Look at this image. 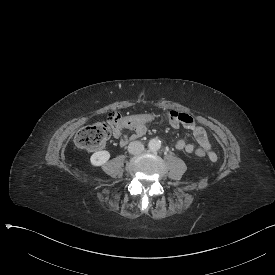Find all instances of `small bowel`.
I'll return each instance as SVG.
<instances>
[{
    "label": "small bowel",
    "instance_id": "small-bowel-1",
    "mask_svg": "<svg viewBox=\"0 0 275 275\" xmlns=\"http://www.w3.org/2000/svg\"><path fill=\"white\" fill-rule=\"evenodd\" d=\"M118 115H116V116H118ZM168 115L170 116V125L172 128L178 129L180 126H183L187 130L191 131L193 133L196 141L198 142V144L204 150L209 152L210 160L213 162L217 160L216 154L211 151V144H210V141L208 139V136H207L205 130L195 123V121L191 115L184 113V112H176L175 109H169ZM145 123L146 122L143 121L142 123L134 124L131 126H128V125H124L121 127L114 126L113 127L114 135L117 138H119L122 142L127 141L128 138H130V139L140 138L146 132ZM127 131L130 132V134H127ZM174 147L177 150H184L187 153H192L194 150V145L191 143H188L183 138L177 140L174 144ZM213 155H215V158L211 159V156H213Z\"/></svg>",
    "mask_w": 275,
    "mask_h": 275
}]
</instances>
